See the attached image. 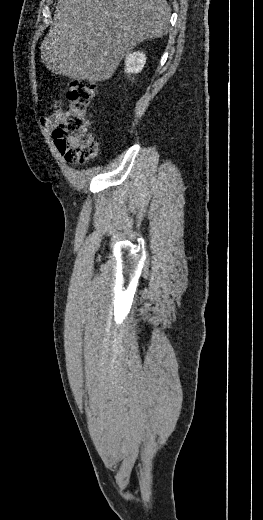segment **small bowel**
Segmentation results:
<instances>
[{
    "label": "small bowel",
    "instance_id": "c3829d8e",
    "mask_svg": "<svg viewBox=\"0 0 263 520\" xmlns=\"http://www.w3.org/2000/svg\"><path fill=\"white\" fill-rule=\"evenodd\" d=\"M63 118V111L60 108V104L56 103L53 112L47 116L41 118V124L47 133H51L59 125Z\"/></svg>",
    "mask_w": 263,
    "mask_h": 520
}]
</instances>
